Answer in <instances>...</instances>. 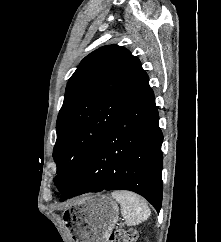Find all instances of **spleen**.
<instances>
[{"instance_id":"3e777b00","label":"spleen","mask_w":221,"mask_h":242,"mask_svg":"<svg viewBox=\"0 0 221 242\" xmlns=\"http://www.w3.org/2000/svg\"><path fill=\"white\" fill-rule=\"evenodd\" d=\"M111 195L120 204L122 216L128 226L138 225L150 216L147 202L139 195L130 191H114Z\"/></svg>"}]
</instances>
